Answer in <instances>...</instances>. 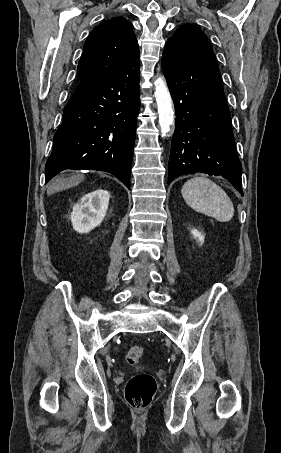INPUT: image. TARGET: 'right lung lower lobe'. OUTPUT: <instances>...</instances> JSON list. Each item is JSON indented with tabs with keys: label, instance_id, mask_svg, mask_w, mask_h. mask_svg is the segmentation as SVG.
I'll return each mask as SVG.
<instances>
[{
	"label": "right lung lower lobe",
	"instance_id": "1",
	"mask_svg": "<svg viewBox=\"0 0 281 453\" xmlns=\"http://www.w3.org/2000/svg\"><path fill=\"white\" fill-rule=\"evenodd\" d=\"M139 75L137 56L110 78L79 82L54 135L45 183L65 169H91L112 173L130 188Z\"/></svg>",
	"mask_w": 281,
	"mask_h": 453
}]
</instances>
